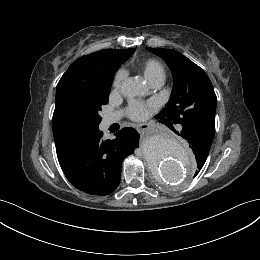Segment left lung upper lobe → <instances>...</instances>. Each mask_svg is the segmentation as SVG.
I'll return each mask as SVG.
<instances>
[{
  "label": "left lung upper lobe",
  "mask_w": 260,
  "mask_h": 260,
  "mask_svg": "<svg viewBox=\"0 0 260 260\" xmlns=\"http://www.w3.org/2000/svg\"><path fill=\"white\" fill-rule=\"evenodd\" d=\"M147 49L162 57L173 74V89L170 99L158 118L172 124L190 126L213 139L217 98L212 83L205 71L190 59L173 49ZM204 161L198 162L201 170ZM197 173L199 171H196Z\"/></svg>",
  "instance_id": "5c2ea615"
}]
</instances>
